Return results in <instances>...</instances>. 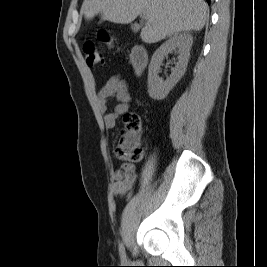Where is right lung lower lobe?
I'll return each mask as SVG.
<instances>
[{
	"label": "right lung lower lobe",
	"instance_id": "1",
	"mask_svg": "<svg viewBox=\"0 0 267 267\" xmlns=\"http://www.w3.org/2000/svg\"><path fill=\"white\" fill-rule=\"evenodd\" d=\"M210 4V0H206Z\"/></svg>",
	"mask_w": 267,
	"mask_h": 267
}]
</instances>
